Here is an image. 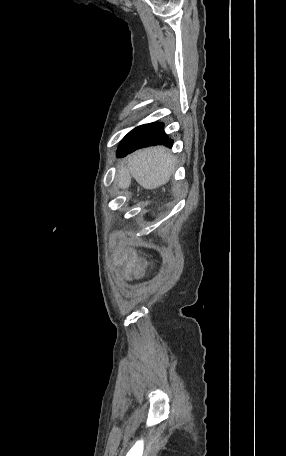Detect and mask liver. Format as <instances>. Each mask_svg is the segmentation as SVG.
Masks as SVG:
<instances>
[{"instance_id": "obj_1", "label": "liver", "mask_w": 286, "mask_h": 456, "mask_svg": "<svg viewBox=\"0 0 286 456\" xmlns=\"http://www.w3.org/2000/svg\"><path fill=\"white\" fill-rule=\"evenodd\" d=\"M175 170V157L163 146H152L129 156L116 176L118 186L126 189L134 178L144 189L152 190L166 184Z\"/></svg>"}]
</instances>
